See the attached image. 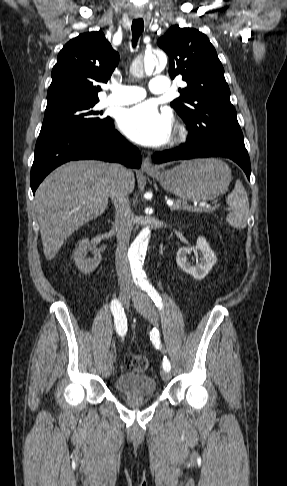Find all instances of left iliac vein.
Listing matches in <instances>:
<instances>
[{
  "instance_id": "1",
  "label": "left iliac vein",
  "mask_w": 287,
  "mask_h": 486,
  "mask_svg": "<svg viewBox=\"0 0 287 486\" xmlns=\"http://www.w3.org/2000/svg\"><path fill=\"white\" fill-rule=\"evenodd\" d=\"M132 301L137 311L143 317H145L153 325L158 324L157 312L148 296L139 292H134L132 295ZM161 377L164 381H168L171 378V374L169 371L163 370L161 371Z\"/></svg>"
}]
</instances>
